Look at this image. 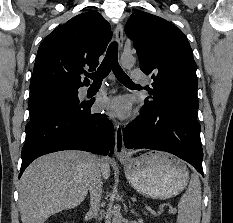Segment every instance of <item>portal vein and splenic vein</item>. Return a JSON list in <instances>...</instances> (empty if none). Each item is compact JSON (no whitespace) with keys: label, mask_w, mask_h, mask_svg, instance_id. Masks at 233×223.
<instances>
[{"label":"portal vein and splenic vein","mask_w":233,"mask_h":223,"mask_svg":"<svg viewBox=\"0 0 233 223\" xmlns=\"http://www.w3.org/2000/svg\"><path fill=\"white\" fill-rule=\"evenodd\" d=\"M171 211H172V213H175L176 209H171ZM156 215H157V213H156Z\"/></svg>","instance_id":"18ae733b"}]
</instances>
